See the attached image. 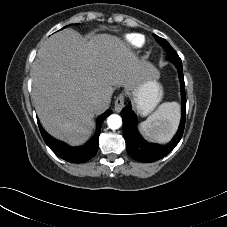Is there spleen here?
I'll list each match as a JSON object with an SVG mask.
<instances>
[{
    "label": "spleen",
    "instance_id": "spleen-1",
    "mask_svg": "<svg viewBox=\"0 0 227 227\" xmlns=\"http://www.w3.org/2000/svg\"><path fill=\"white\" fill-rule=\"evenodd\" d=\"M180 118L179 104H161L146 121L140 123V130L150 140L168 142L177 129Z\"/></svg>",
    "mask_w": 227,
    "mask_h": 227
}]
</instances>
